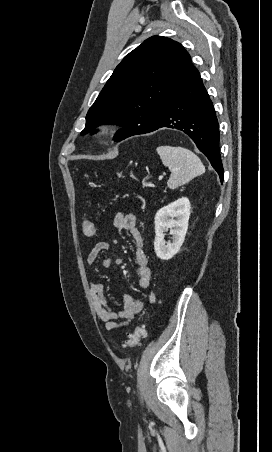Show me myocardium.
Listing matches in <instances>:
<instances>
[{"label": "myocardium", "mask_w": 272, "mask_h": 452, "mask_svg": "<svg viewBox=\"0 0 272 452\" xmlns=\"http://www.w3.org/2000/svg\"><path fill=\"white\" fill-rule=\"evenodd\" d=\"M110 133V128L108 126H102L98 129V134L100 136H107Z\"/></svg>", "instance_id": "myocardium-1"}]
</instances>
